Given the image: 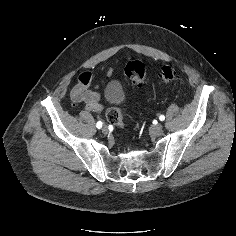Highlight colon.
Masks as SVG:
<instances>
[{
	"mask_svg": "<svg viewBox=\"0 0 236 236\" xmlns=\"http://www.w3.org/2000/svg\"><path fill=\"white\" fill-rule=\"evenodd\" d=\"M127 78L136 82L143 83L145 81L146 71L145 66L140 61L129 62L124 69ZM160 77L167 85H175L179 81L178 71L170 65H164L160 70ZM107 121L115 126L123 127L125 125L121 111L117 107H111L106 113Z\"/></svg>",
	"mask_w": 236,
	"mask_h": 236,
	"instance_id": "5ec220e1",
	"label": "colon"
}]
</instances>
